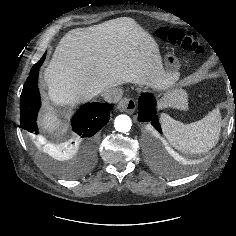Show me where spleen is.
<instances>
[{"instance_id": "spleen-1", "label": "spleen", "mask_w": 236, "mask_h": 236, "mask_svg": "<svg viewBox=\"0 0 236 236\" xmlns=\"http://www.w3.org/2000/svg\"><path fill=\"white\" fill-rule=\"evenodd\" d=\"M160 121L168 142L177 150L187 154L206 153L216 146L221 132V116L218 109L204 118L184 124L162 113Z\"/></svg>"}]
</instances>
